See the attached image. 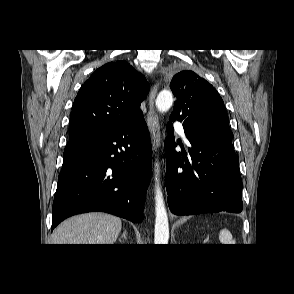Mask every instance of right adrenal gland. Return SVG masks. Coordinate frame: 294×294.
Listing matches in <instances>:
<instances>
[{
  "label": "right adrenal gland",
  "mask_w": 294,
  "mask_h": 294,
  "mask_svg": "<svg viewBox=\"0 0 294 294\" xmlns=\"http://www.w3.org/2000/svg\"><path fill=\"white\" fill-rule=\"evenodd\" d=\"M121 239H125V240L127 239V231L126 230L121 235V238L119 239V241H121Z\"/></svg>",
  "instance_id": "2a0ac1e0"
}]
</instances>
